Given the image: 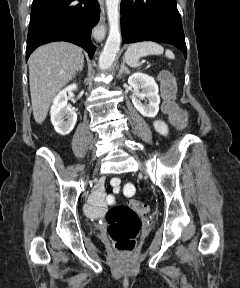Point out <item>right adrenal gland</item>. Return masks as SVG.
<instances>
[{
  "label": "right adrenal gland",
  "instance_id": "1",
  "mask_svg": "<svg viewBox=\"0 0 240 288\" xmlns=\"http://www.w3.org/2000/svg\"><path fill=\"white\" fill-rule=\"evenodd\" d=\"M83 66H84V61L81 63V66H80V68L77 70V73H78V72H82ZM73 77H75V75H74Z\"/></svg>",
  "mask_w": 240,
  "mask_h": 288
}]
</instances>
